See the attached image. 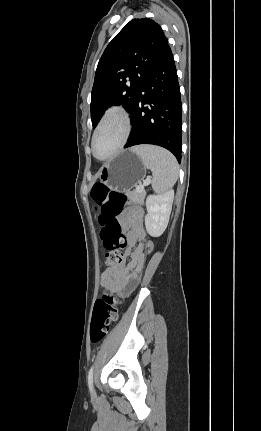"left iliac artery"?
Masks as SVG:
<instances>
[{"mask_svg":"<svg viewBox=\"0 0 261 431\" xmlns=\"http://www.w3.org/2000/svg\"><path fill=\"white\" fill-rule=\"evenodd\" d=\"M93 371H94V366L90 368L88 373V386L91 392L93 391Z\"/></svg>","mask_w":261,"mask_h":431,"instance_id":"obj_1","label":"left iliac artery"}]
</instances>
